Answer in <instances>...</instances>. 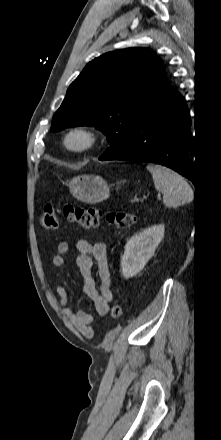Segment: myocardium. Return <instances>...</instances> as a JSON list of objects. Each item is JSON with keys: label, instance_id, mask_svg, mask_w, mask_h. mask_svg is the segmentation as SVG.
I'll use <instances>...</instances> for the list:
<instances>
[{"label": "myocardium", "instance_id": "obj_1", "mask_svg": "<svg viewBox=\"0 0 221 440\" xmlns=\"http://www.w3.org/2000/svg\"><path fill=\"white\" fill-rule=\"evenodd\" d=\"M100 142L98 131L87 124L69 126L61 136L62 148L71 154H84L95 149Z\"/></svg>", "mask_w": 221, "mask_h": 440}]
</instances>
